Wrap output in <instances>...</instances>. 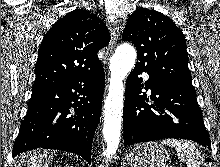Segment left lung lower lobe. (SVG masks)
<instances>
[{
  "mask_svg": "<svg viewBox=\"0 0 220 167\" xmlns=\"http://www.w3.org/2000/svg\"><path fill=\"white\" fill-rule=\"evenodd\" d=\"M145 71L135 66L126 81L123 111L124 144L130 146L163 138L193 140L211 149L192 82L170 80L149 74L141 84L138 75ZM151 89L150 98L142 88ZM151 101L152 105L147 102Z\"/></svg>",
  "mask_w": 220,
  "mask_h": 167,
  "instance_id": "obj_1",
  "label": "left lung lower lobe"
}]
</instances>
